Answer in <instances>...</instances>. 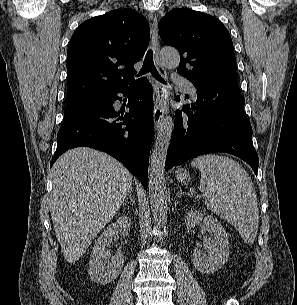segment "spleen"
Here are the masks:
<instances>
[{"label": "spleen", "mask_w": 297, "mask_h": 305, "mask_svg": "<svg viewBox=\"0 0 297 305\" xmlns=\"http://www.w3.org/2000/svg\"><path fill=\"white\" fill-rule=\"evenodd\" d=\"M201 171L199 190L206 206L232 224L244 242L255 241L259 214L257 195L246 170L235 160L206 154L191 161Z\"/></svg>", "instance_id": "spleen-1"}]
</instances>
